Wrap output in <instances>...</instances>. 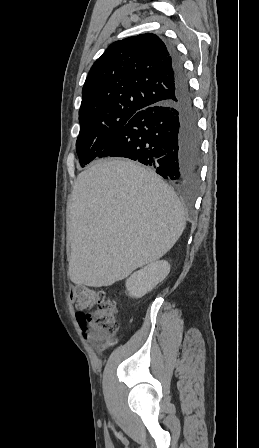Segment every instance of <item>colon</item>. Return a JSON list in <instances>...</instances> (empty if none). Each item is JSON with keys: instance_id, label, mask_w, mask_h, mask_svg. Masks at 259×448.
Wrapping results in <instances>:
<instances>
[{"instance_id": "5ec220e1", "label": "colon", "mask_w": 259, "mask_h": 448, "mask_svg": "<svg viewBox=\"0 0 259 448\" xmlns=\"http://www.w3.org/2000/svg\"><path fill=\"white\" fill-rule=\"evenodd\" d=\"M77 307V321L92 340L108 346L118 332L117 314L119 305L104 291L93 287L78 285L73 291Z\"/></svg>"}]
</instances>
